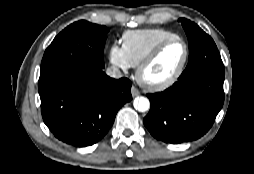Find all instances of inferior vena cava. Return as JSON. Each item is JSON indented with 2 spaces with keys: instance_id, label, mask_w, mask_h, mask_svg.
Returning <instances> with one entry per match:
<instances>
[{
  "instance_id": "inferior-vena-cava-1",
  "label": "inferior vena cava",
  "mask_w": 254,
  "mask_h": 174,
  "mask_svg": "<svg viewBox=\"0 0 254 174\" xmlns=\"http://www.w3.org/2000/svg\"><path fill=\"white\" fill-rule=\"evenodd\" d=\"M106 74L115 79H119L123 76L119 68L115 66L108 67L106 69Z\"/></svg>"
}]
</instances>
